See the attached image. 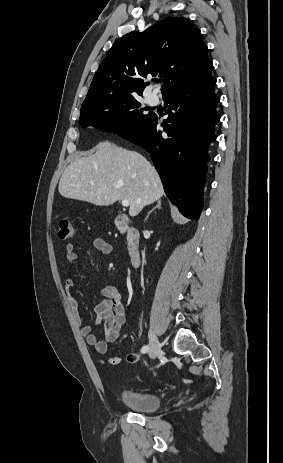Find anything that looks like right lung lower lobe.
I'll use <instances>...</instances> for the list:
<instances>
[{"label": "right lung lower lobe", "mask_w": 283, "mask_h": 463, "mask_svg": "<svg viewBox=\"0 0 283 463\" xmlns=\"http://www.w3.org/2000/svg\"><path fill=\"white\" fill-rule=\"evenodd\" d=\"M213 76L183 85L163 95L168 118L161 124L151 117L136 131L122 135L151 155L169 200L189 219H199L208 161L219 121ZM163 127V133L159 128Z\"/></svg>", "instance_id": "98d812e1"}]
</instances>
